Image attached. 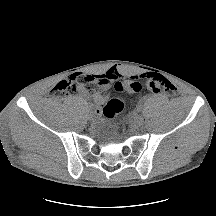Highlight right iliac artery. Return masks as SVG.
Wrapping results in <instances>:
<instances>
[{
    "label": "right iliac artery",
    "instance_id": "1",
    "mask_svg": "<svg viewBox=\"0 0 216 216\" xmlns=\"http://www.w3.org/2000/svg\"><path fill=\"white\" fill-rule=\"evenodd\" d=\"M86 115H91V111H88L87 107H86Z\"/></svg>",
    "mask_w": 216,
    "mask_h": 216
}]
</instances>
